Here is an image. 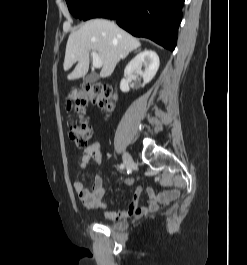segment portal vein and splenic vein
I'll return each instance as SVG.
<instances>
[{"label": "portal vein and splenic vein", "mask_w": 247, "mask_h": 265, "mask_svg": "<svg viewBox=\"0 0 247 265\" xmlns=\"http://www.w3.org/2000/svg\"><path fill=\"white\" fill-rule=\"evenodd\" d=\"M92 58H93V67L101 68L103 63H102V60L99 58L96 51L92 52Z\"/></svg>", "instance_id": "obj_1"}]
</instances>
